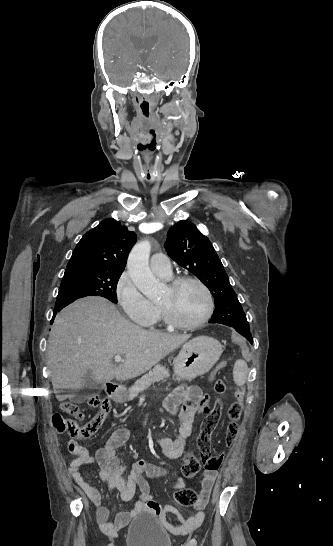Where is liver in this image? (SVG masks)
<instances>
[{
    "instance_id": "obj_1",
    "label": "liver",
    "mask_w": 333,
    "mask_h": 546,
    "mask_svg": "<svg viewBox=\"0 0 333 546\" xmlns=\"http://www.w3.org/2000/svg\"><path fill=\"white\" fill-rule=\"evenodd\" d=\"M189 338L146 331L104 298L79 299L56 316L48 340L54 392L81 388L87 372L99 383L135 378ZM116 355L124 357L118 365L113 362ZM56 398L63 401L67 396Z\"/></svg>"
}]
</instances>
